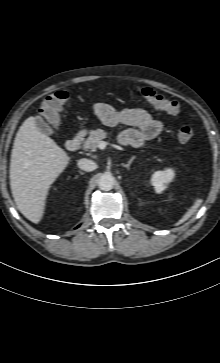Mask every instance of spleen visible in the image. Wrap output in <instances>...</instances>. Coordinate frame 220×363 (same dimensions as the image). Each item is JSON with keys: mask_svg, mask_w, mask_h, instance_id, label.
<instances>
[{"mask_svg": "<svg viewBox=\"0 0 220 363\" xmlns=\"http://www.w3.org/2000/svg\"><path fill=\"white\" fill-rule=\"evenodd\" d=\"M202 203V199H197L194 205L186 212V214L182 217V219L178 222V224L183 223L184 221L188 220L199 208Z\"/></svg>", "mask_w": 220, "mask_h": 363, "instance_id": "3e777b00", "label": "spleen"}]
</instances>
